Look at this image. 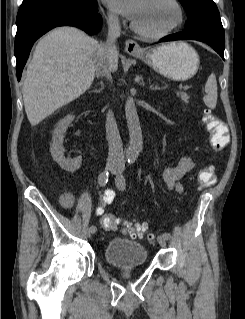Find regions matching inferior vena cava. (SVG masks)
Wrapping results in <instances>:
<instances>
[{
  "label": "inferior vena cava",
  "instance_id": "602c4592",
  "mask_svg": "<svg viewBox=\"0 0 245 319\" xmlns=\"http://www.w3.org/2000/svg\"><path fill=\"white\" fill-rule=\"evenodd\" d=\"M107 24L108 35L106 42L103 43L105 58L97 68L96 75L104 76L110 80L111 76L108 62L118 57L116 40L120 36L121 29L119 25L118 16L114 13H110L108 15ZM106 138L109 145L108 160L110 162H118L120 164H124L122 142L114 114L111 110L108 111L106 117Z\"/></svg>",
  "mask_w": 245,
  "mask_h": 319
}]
</instances>
